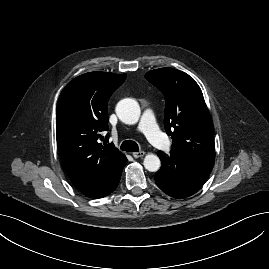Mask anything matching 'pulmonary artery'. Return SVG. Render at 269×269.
Masks as SVG:
<instances>
[{"label": "pulmonary artery", "instance_id": "1", "mask_svg": "<svg viewBox=\"0 0 269 269\" xmlns=\"http://www.w3.org/2000/svg\"><path fill=\"white\" fill-rule=\"evenodd\" d=\"M137 129L144 134L147 140L159 149H166L169 147V142L166 136L158 128L155 116L152 110L146 109L137 125Z\"/></svg>", "mask_w": 269, "mask_h": 269}]
</instances>
